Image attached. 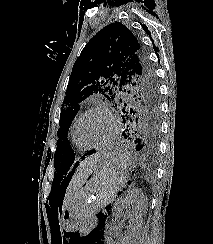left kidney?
<instances>
[{
	"mask_svg": "<svg viewBox=\"0 0 213 244\" xmlns=\"http://www.w3.org/2000/svg\"><path fill=\"white\" fill-rule=\"evenodd\" d=\"M144 201V195L139 194L134 190L128 191L124 197L120 198L114 205L112 214L116 219L120 218L124 210L134 209L132 214L129 215L130 223L128 226V231L122 237L119 244H134V238L137 230L139 229L140 217H141V207ZM110 244H113L112 241Z\"/></svg>",
	"mask_w": 213,
	"mask_h": 244,
	"instance_id": "left-kidney-1",
	"label": "left kidney"
}]
</instances>
